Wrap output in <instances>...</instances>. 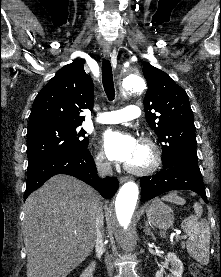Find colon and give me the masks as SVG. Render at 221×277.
Here are the masks:
<instances>
[{"label":"colon","instance_id":"obj_1","mask_svg":"<svg viewBox=\"0 0 221 277\" xmlns=\"http://www.w3.org/2000/svg\"><path fill=\"white\" fill-rule=\"evenodd\" d=\"M189 270L194 277H212L211 272L207 268L197 263H192L189 266Z\"/></svg>","mask_w":221,"mask_h":277}]
</instances>
